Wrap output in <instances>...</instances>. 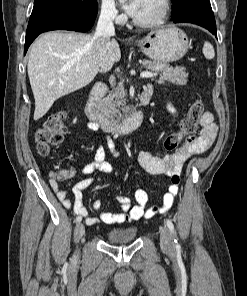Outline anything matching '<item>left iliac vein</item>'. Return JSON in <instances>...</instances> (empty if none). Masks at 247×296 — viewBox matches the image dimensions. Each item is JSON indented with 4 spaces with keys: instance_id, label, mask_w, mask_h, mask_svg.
I'll use <instances>...</instances> for the list:
<instances>
[{
    "instance_id": "1",
    "label": "left iliac vein",
    "mask_w": 247,
    "mask_h": 296,
    "mask_svg": "<svg viewBox=\"0 0 247 296\" xmlns=\"http://www.w3.org/2000/svg\"><path fill=\"white\" fill-rule=\"evenodd\" d=\"M160 245L165 251L173 250V239L170 230L166 226L160 228Z\"/></svg>"
}]
</instances>
